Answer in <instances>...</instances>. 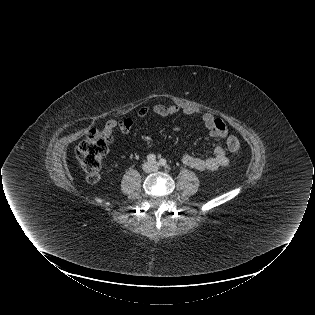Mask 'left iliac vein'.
Instances as JSON below:
<instances>
[{
  "label": "left iliac vein",
  "mask_w": 315,
  "mask_h": 315,
  "mask_svg": "<svg viewBox=\"0 0 315 315\" xmlns=\"http://www.w3.org/2000/svg\"><path fill=\"white\" fill-rule=\"evenodd\" d=\"M153 164H154L155 166L157 165V163H156V162H154Z\"/></svg>",
  "instance_id": "1"
}]
</instances>
